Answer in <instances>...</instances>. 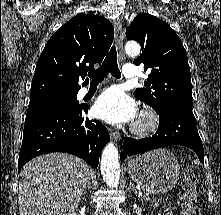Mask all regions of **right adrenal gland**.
I'll return each instance as SVG.
<instances>
[{
	"label": "right adrenal gland",
	"instance_id": "obj_1",
	"mask_svg": "<svg viewBox=\"0 0 221 215\" xmlns=\"http://www.w3.org/2000/svg\"><path fill=\"white\" fill-rule=\"evenodd\" d=\"M90 188H91V186H90V180H89L88 183H87V186H86V188H85V190H84L83 195H85V194H86V191H87V190H90Z\"/></svg>",
	"mask_w": 221,
	"mask_h": 215
}]
</instances>
